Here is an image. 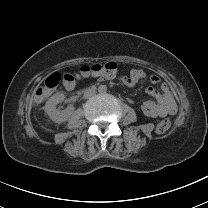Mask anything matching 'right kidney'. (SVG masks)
Segmentation results:
<instances>
[{
	"instance_id": "1",
	"label": "right kidney",
	"mask_w": 208,
	"mask_h": 208,
	"mask_svg": "<svg viewBox=\"0 0 208 208\" xmlns=\"http://www.w3.org/2000/svg\"><path fill=\"white\" fill-rule=\"evenodd\" d=\"M65 95L62 93L54 94L45 104L44 109L49 118L55 123H63L70 117L71 110L69 108L59 111L56 109V105L64 101Z\"/></svg>"
}]
</instances>
